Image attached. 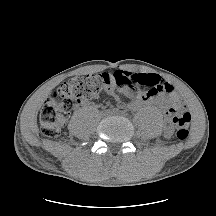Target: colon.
Instances as JSON below:
<instances>
[{
  "instance_id": "obj_1",
  "label": "colon",
  "mask_w": 216,
  "mask_h": 216,
  "mask_svg": "<svg viewBox=\"0 0 216 216\" xmlns=\"http://www.w3.org/2000/svg\"><path fill=\"white\" fill-rule=\"evenodd\" d=\"M130 82L131 76L122 71L83 75L68 80L53 92L41 108L42 133L50 138L57 137L66 117L77 104L96 101L112 86H127ZM168 116L176 128L177 138L187 139L190 114L183 108H172L168 111Z\"/></svg>"
}]
</instances>
